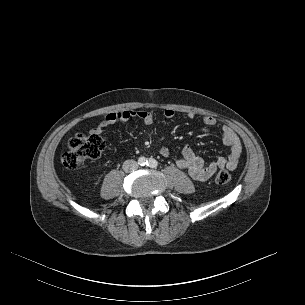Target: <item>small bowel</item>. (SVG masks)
Wrapping results in <instances>:
<instances>
[{
    "label": "small bowel",
    "mask_w": 305,
    "mask_h": 305,
    "mask_svg": "<svg viewBox=\"0 0 305 305\" xmlns=\"http://www.w3.org/2000/svg\"><path fill=\"white\" fill-rule=\"evenodd\" d=\"M175 112L172 109H166L163 116L172 118ZM187 119L193 120L195 113L188 112ZM132 118H138L145 125H150L154 121V115L147 110H120L107 114L92 130L91 132L102 134L103 131L114 123L125 122ZM202 122L208 127L215 126L217 120L210 115L202 116ZM221 138L224 144L230 147V155L228 158L218 157L217 159L205 162L198 157L190 147H184L180 154L175 157L176 165L187 171L189 176L197 181H206L210 179L219 169L227 168L233 170L237 167L241 154L242 144L237 134L227 125H222ZM159 153L163 157L170 156V150L166 147H161Z\"/></svg>",
    "instance_id": "small-bowel-1"
}]
</instances>
